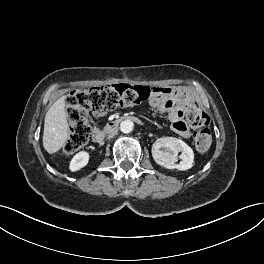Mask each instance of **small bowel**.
Segmentation results:
<instances>
[{
  "label": "small bowel",
  "instance_id": "obj_1",
  "mask_svg": "<svg viewBox=\"0 0 264 264\" xmlns=\"http://www.w3.org/2000/svg\"><path fill=\"white\" fill-rule=\"evenodd\" d=\"M153 94L149 98V104L155 110L167 113L172 129L180 136L188 138L191 135V130L183 120V115L189 94L185 90L177 87H154ZM95 117H101L104 112H93Z\"/></svg>",
  "mask_w": 264,
  "mask_h": 264
}]
</instances>
